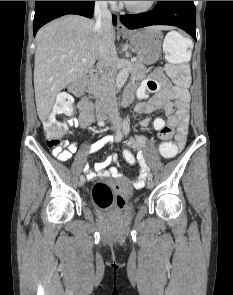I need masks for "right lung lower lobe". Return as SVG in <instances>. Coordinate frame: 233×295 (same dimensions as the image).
<instances>
[{"label": "right lung lower lobe", "mask_w": 233, "mask_h": 295, "mask_svg": "<svg viewBox=\"0 0 233 295\" xmlns=\"http://www.w3.org/2000/svg\"><path fill=\"white\" fill-rule=\"evenodd\" d=\"M95 1H36L33 22L34 36L47 22L66 14H77L92 18ZM116 24V17L113 16Z\"/></svg>", "instance_id": "obj_1"}]
</instances>
